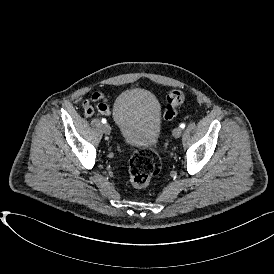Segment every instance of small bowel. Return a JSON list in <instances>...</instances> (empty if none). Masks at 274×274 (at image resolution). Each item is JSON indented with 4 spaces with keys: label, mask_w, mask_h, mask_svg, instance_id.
Wrapping results in <instances>:
<instances>
[{
    "label": "small bowel",
    "mask_w": 274,
    "mask_h": 274,
    "mask_svg": "<svg viewBox=\"0 0 274 274\" xmlns=\"http://www.w3.org/2000/svg\"><path fill=\"white\" fill-rule=\"evenodd\" d=\"M94 103H98L97 104L98 112L105 115L110 114L111 106L106 100L105 96L100 92H94L91 94L89 99L85 100L82 103L83 112L86 117H91L93 115L94 110L89 109L88 106L93 105Z\"/></svg>",
    "instance_id": "1"
}]
</instances>
